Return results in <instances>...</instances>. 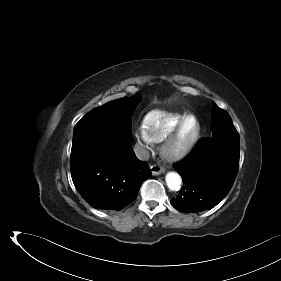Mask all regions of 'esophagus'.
Returning <instances> with one entry per match:
<instances>
[{"mask_svg": "<svg viewBox=\"0 0 281 281\" xmlns=\"http://www.w3.org/2000/svg\"><path fill=\"white\" fill-rule=\"evenodd\" d=\"M151 172L153 175H160L161 173H164L165 169L162 166L159 165H152L150 167Z\"/></svg>", "mask_w": 281, "mask_h": 281, "instance_id": "esophagus-1", "label": "esophagus"}]
</instances>
